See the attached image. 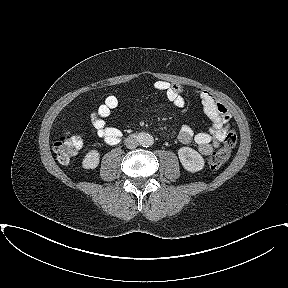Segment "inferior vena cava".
Segmentation results:
<instances>
[{
  "label": "inferior vena cava",
  "mask_w": 288,
  "mask_h": 288,
  "mask_svg": "<svg viewBox=\"0 0 288 288\" xmlns=\"http://www.w3.org/2000/svg\"><path fill=\"white\" fill-rule=\"evenodd\" d=\"M125 145L128 149H135L139 145V138L132 134L125 139Z\"/></svg>",
  "instance_id": "602c4592"
}]
</instances>
